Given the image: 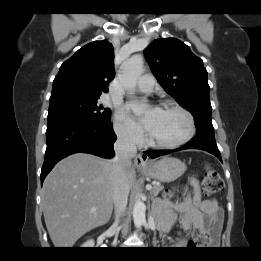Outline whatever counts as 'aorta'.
Here are the masks:
<instances>
[{
  "label": "aorta",
  "instance_id": "1",
  "mask_svg": "<svg viewBox=\"0 0 261 261\" xmlns=\"http://www.w3.org/2000/svg\"><path fill=\"white\" fill-rule=\"evenodd\" d=\"M143 73V58L140 55H133L122 64L120 80L131 93L136 87L138 78ZM140 114V111H136ZM146 206L140 199L136 200L133 208V220L136 228L140 229L145 222Z\"/></svg>",
  "mask_w": 261,
  "mask_h": 261
}]
</instances>
